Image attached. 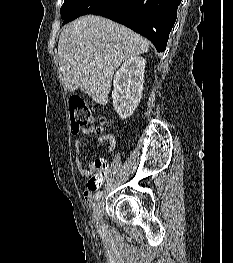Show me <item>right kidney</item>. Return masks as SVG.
<instances>
[{
	"label": "right kidney",
	"instance_id": "right-kidney-1",
	"mask_svg": "<svg viewBox=\"0 0 233 263\" xmlns=\"http://www.w3.org/2000/svg\"><path fill=\"white\" fill-rule=\"evenodd\" d=\"M146 60L134 56L125 61L114 76L112 99L120 118L130 117L137 108L143 90Z\"/></svg>",
	"mask_w": 233,
	"mask_h": 263
}]
</instances>
